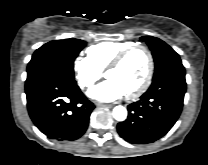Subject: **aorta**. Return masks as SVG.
Listing matches in <instances>:
<instances>
[{"mask_svg": "<svg viewBox=\"0 0 208 165\" xmlns=\"http://www.w3.org/2000/svg\"><path fill=\"white\" fill-rule=\"evenodd\" d=\"M112 114L117 121H124L127 118V110L121 105L114 107Z\"/></svg>", "mask_w": 208, "mask_h": 165, "instance_id": "obj_1", "label": "aorta"}]
</instances>
